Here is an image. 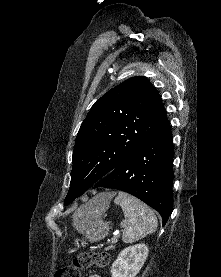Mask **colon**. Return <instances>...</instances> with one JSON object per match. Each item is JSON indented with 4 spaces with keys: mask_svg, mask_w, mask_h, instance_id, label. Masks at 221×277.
Wrapping results in <instances>:
<instances>
[{
    "mask_svg": "<svg viewBox=\"0 0 221 277\" xmlns=\"http://www.w3.org/2000/svg\"><path fill=\"white\" fill-rule=\"evenodd\" d=\"M108 261L107 254L103 252H85L77 256L71 264L60 268L55 277H81L85 269L91 266L104 267Z\"/></svg>",
    "mask_w": 221,
    "mask_h": 277,
    "instance_id": "obj_1",
    "label": "colon"
}]
</instances>
